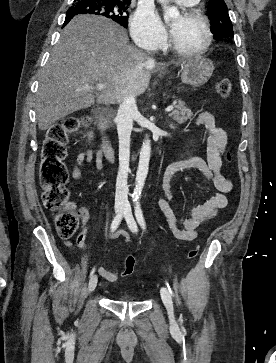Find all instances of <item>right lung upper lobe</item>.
<instances>
[{"label":"right lung upper lobe","mask_w":276,"mask_h":363,"mask_svg":"<svg viewBox=\"0 0 276 363\" xmlns=\"http://www.w3.org/2000/svg\"><path fill=\"white\" fill-rule=\"evenodd\" d=\"M109 1L126 2V3H130L131 2V0H109Z\"/></svg>","instance_id":"cb5924a9"}]
</instances>
